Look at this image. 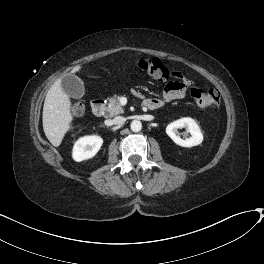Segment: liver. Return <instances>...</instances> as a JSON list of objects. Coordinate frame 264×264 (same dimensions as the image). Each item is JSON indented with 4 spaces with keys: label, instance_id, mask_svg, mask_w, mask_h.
Returning <instances> with one entry per match:
<instances>
[{
    "label": "liver",
    "instance_id": "1",
    "mask_svg": "<svg viewBox=\"0 0 264 264\" xmlns=\"http://www.w3.org/2000/svg\"><path fill=\"white\" fill-rule=\"evenodd\" d=\"M82 66H76L71 74L79 72ZM71 100L62 88V79H57L47 92L43 106V129L50 143L58 147L65 134L71 128L73 116Z\"/></svg>",
    "mask_w": 264,
    "mask_h": 264
}]
</instances>
